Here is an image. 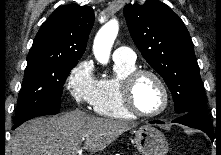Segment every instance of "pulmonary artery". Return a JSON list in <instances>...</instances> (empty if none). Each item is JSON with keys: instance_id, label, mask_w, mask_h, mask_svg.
Wrapping results in <instances>:
<instances>
[{"instance_id": "pulmonary-artery-1", "label": "pulmonary artery", "mask_w": 221, "mask_h": 155, "mask_svg": "<svg viewBox=\"0 0 221 155\" xmlns=\"http://www.w3.org/2000/svg\"><path fill=\"white\" fill-rule=\"evenodd\" d=\"M113 59L114 61L134 63L136 60V55L131 48L127 46H121L114 51Z\"/></svg>"}]
</instances>
